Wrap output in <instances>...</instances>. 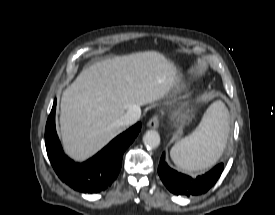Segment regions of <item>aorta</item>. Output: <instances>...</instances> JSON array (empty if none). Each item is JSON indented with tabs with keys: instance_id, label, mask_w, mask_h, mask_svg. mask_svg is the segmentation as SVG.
<instances>
[{
	"instance_id": "762f6f07",
	"label": "aorta",
	"mask_w": 275,
	"mask_h": 215,
	"mask_svg": "<svg viewBox=\"0 0 275 215\" xmlns=\"http://www.w3.org/2000/svg\"><path fill=\"white\" fill-rule=\"evenodd\" d=\"M143 143L150 149L157 148L160 145V135L155 130H148L143 136Z\"/></svg>"
}]
</instances>
